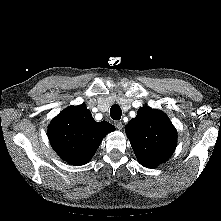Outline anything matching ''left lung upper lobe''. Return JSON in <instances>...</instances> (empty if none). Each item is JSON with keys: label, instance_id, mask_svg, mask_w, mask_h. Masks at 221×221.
Instances as JSON below:
<instances>
[{"label": "left lung upper lobe", "instance_id": "left-lung-upper-lobe-1", "mask_svg": "<svg viewBox=\"0 0 221 221\" xmlns=\"http://www.w3.org/2000/svg\"><path fill=\"white\" fill-rule=\"evenodd\" d=\"M132 149L141 165L154 168L173 154L177 134L166 114L141 107L137 116L125 126Z\"/></svg>", "mask_w": 221, "mask_h": 221}]
</instances>
